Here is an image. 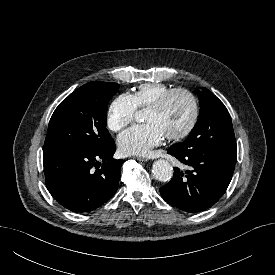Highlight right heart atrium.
Wrapping results in <instances>:
<instances>
[{
	"label": "right heart atrium",
	"mask_w": 275,
	"mask_h": 275,
	"mask_svg": "<svg viewBox=\"0 0 275 275\" xmlns=\"http://www.w3.org/2000/svg\"><path fill=\"white\" fill-rule=\"evenodd\" d=\"M137 106L130 94L117 96L107 111V126L113 132H119L128 126L135 118Z\"/></svg>",
	"instance_id": "right-heart-atrium-1"
}]
</instances>
